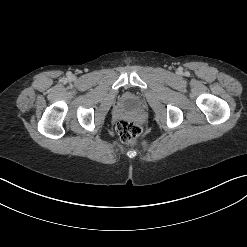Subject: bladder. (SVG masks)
<instances>
[{
	"label": "bladder",
	"mask_w": 247,
	"mask_h": 247,
	"mask_svg": "<svg viewBox=\"0 0 247 247\" xmlns=\"http://www.w3.org/2000/svg\"><path fill=\"white\" fill-rule=\"evenodd\" d=\"M127 102L131 108H136L138 106V99L135 96L128 97Z\"/></svg>",
	"instance_id": "bladder-1"
}]
</instances>
